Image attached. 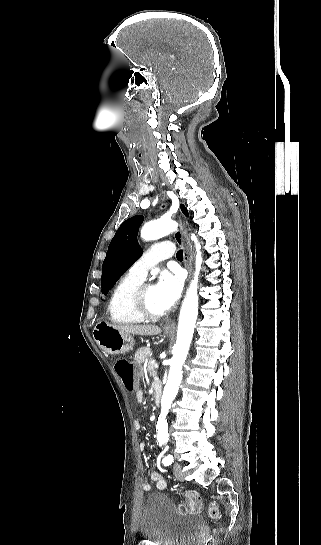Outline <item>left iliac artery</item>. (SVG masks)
<instances>
[{
  "label": "left iliac artery",
  "mask_w": 321,
  "mask_h": 545,
  "mask_svg": "<svg viewBox=\"0 0 321 545\" xmlns=\"http://www.w3.org/2000/svg\"><path fill=\"white\" fill-rule=\"evenodd\" d=\"M162 462H163V464H164L165 466L171 465V464L173 463V456H172V455L166 456V457L163 459Z\"/></svg>",
  "instance_id": "1"
}]
</instances>
